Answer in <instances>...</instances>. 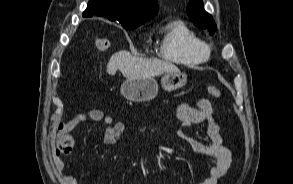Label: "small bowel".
<instances>
[{"mask_svg":"<svg viewBox=\"0 0 293 184\" xmlns=\"http://www.w3.org/2000/svg\"><path fill=\"white\" fill-rule=\"evenodd\" d=\"M175 113L182 123L181 128L178 130L179 138L185 142L191 151L214 160V165L208 177L200 184H219L221 178L231 166L232 152L224 144V139L220 127L215 120L211 103L207 99L199 100L196 106L182 103L176 108ZM85 121L104 123L103 143L106 145L117 143L120 135L126 129L124 123L114 122L112 117L105 115L98 109H91L76 114L64 125V128L70 132ZM195 125H203L205 127L207 143H203L187 134V129ZM53 164L58 172H62L65 169L64 160L57 155L54 156ZM90 173L91 171L88 172V175ZM61 183L79 184V181L73 175L65 174L61 178Z\"/></svg>","mask_w":293,"mask_h":184,"instance_id":"small-bowel-1","label":"small bowel"}]
</instances>
